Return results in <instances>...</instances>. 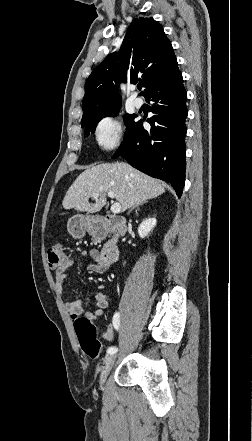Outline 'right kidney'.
<instances>
[{
	"mask_svg": "<svg viewBox=\"0 0 252 441\" xmlns=\"http://www.w3.org/2000/svg\"><path fill=\"white\" fill-rule=\"evenodd\" d=\"M156 223H157V221L155 218H148V219L144 220L138 228V234H139L140 238L143 239L146 236H148L149 233L156 226Z\"/></svg>",
	"mask_w": 252,
	"mask_h": 441,
	"instance_id": "ca27d5eb",
	"label": "right kidney"
}]
</instances>
